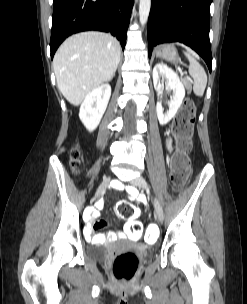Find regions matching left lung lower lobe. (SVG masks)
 <instances>
[{
	"label": "left lung lower lobe",
	"instance_id": "obj_1",
	"mask_svg": "<svg viewBox=\"0 0 247 304\" xmlns=\"http://www.w3.org/2000/svg\"><path fill=\"white\" fill-rule=\"evenodd\" d=\"M212 0H152L148 18V53L164 42H181L195 50L212 70L209 39Z\"/></svg>",
	"mask_w": 247,
	"mask_h": 304
}]
</instances>
